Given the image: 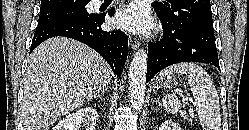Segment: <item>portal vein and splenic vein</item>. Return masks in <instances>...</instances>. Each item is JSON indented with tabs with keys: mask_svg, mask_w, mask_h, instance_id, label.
Listing matches in <instances>:
<instances>
[{
	"mask_svg": "<svg viewBox=\"0 0 249 130\" xmlns=\"http://www.w3.org/2000/svg\"><path fill=\"white\" fill-rule=\"evenodd\" d=\"M183 102H184L185 104H187V103H188V98H184V99H183ZM190 114L193 115V111H190Z\"/></svg>",
	"mask_w": 249,
	"mask_h": 130,
	"instance_id": "portal-vein-and-splenic-vein-1",
	"label": "portal vein and splenic vein"
}]
</instances>
